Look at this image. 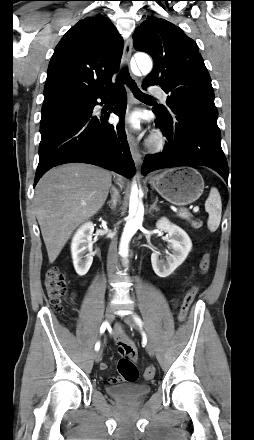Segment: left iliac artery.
<instances>
[{
    "label": "left iliac artery",
    "instance_id": "44dca946",
    "mask_svg": "<svg viewBox=\"0 0 254 440\" xmlns=\"http://www.w3.org/2000/svg\"><path fill=\"white\" fill-rule=\"evenodd\" d=\"M134 319H135V321H136L139 325H142V321H141V319H140L139 317L134 316Z\"/></svg>",
    "mask_w": 254,
    "mask_h": 440
}]
</instances>
